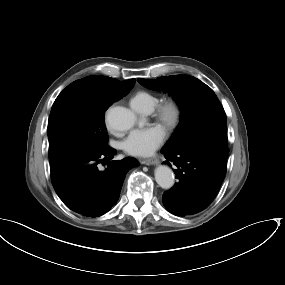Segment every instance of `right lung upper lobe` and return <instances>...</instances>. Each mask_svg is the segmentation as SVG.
Listing matches in <instances>:
<instances>
[{"instance_id":"1","label":"right lung upper lobe","mask_w":285,"mask_h":285,"mask_svg":"<svg viewBox=\"0 0 285 285\" xmlns=\"http://www.w3.org/2000/svg\"><path fill=\"white\" fill-rule=\"evenodd\" d=\"M92 78H97L102 80L103 82L108 83L112 88H114L116 91L122 93V94H128L129 91L132 89V87L135 84L134 79H130L127 81H119L114 78L106 77V76H90Z\"/></svg>"}]
</instances>
